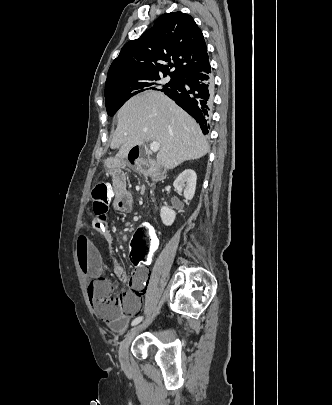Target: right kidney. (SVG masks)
I'll return each mask as SVG.
<instances>
[{
	"instance_id": "right-kidney-1",
	"label": "right kidney",
	"mask_w": 332,
	"mask_h": 405,
	"mask_svg": "<svg viewBox=\"0 0 332 405\" xmlns=\"http://www.w3.org/2000/svg\"><path fill=\"white\" fill-rule=\"evenodd\" d=\"M197 175L194 170H184L174 181V188L182 192L186 200H192L196 190ZM160 217L165 226H171L176 218V212L167 207H161Z\"/></svg>"
}]
</instances>
